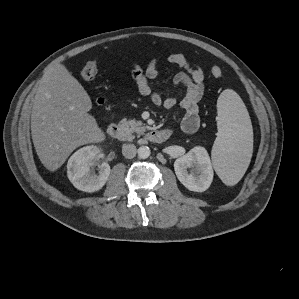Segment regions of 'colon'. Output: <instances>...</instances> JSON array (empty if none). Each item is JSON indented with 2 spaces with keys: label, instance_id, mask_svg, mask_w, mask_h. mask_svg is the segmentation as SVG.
Here are the masks:
<instances>
[{
  "label": "colon",
  "instance_id": "1",
  "mask_svg": "<svg viewBox=\"0 0 299 299\" xmlns=\"http://www.w3.org/2000/svg\"><path fill=\"white\" fill-rule=\"evenodd\" d=\"M98 72V63L95 60L88 61L81 69V77L85 81L93 80ZM211 74L215 78H220L223 74L221 67L215 65L211 68ZM101 105H104V101H100Z\"/></svg>",
  "mask_w": 299,
  "mask_h": 299
}]
</instances>
